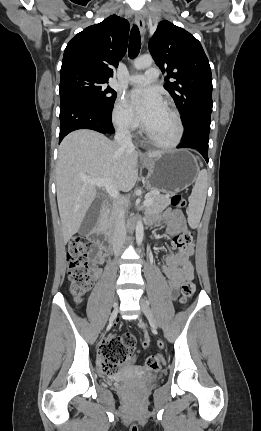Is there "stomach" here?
<instances>
[{
    "label": "stomach",
    "instance_id": "0dacf381",
    "mask_svg": "<svg viewBox=\"0 0 261 431\" xmlns=\"http://www.w3.org/2000/svg\"><path fill=\"white\" fill-rule=\"evenodd\" d=\"M150 190L178 192L197 180L196 159L186 151H164L154 159H145Z\"/></svg>",
    "mask_w": 261,
    "mask_h": 431
}]
</instances>
